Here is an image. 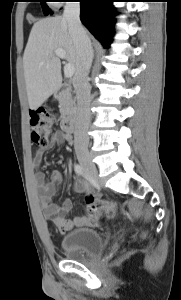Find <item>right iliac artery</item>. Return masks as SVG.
I'll use <instances>...</instances> for the list:
<instances>
[{
	"instance_id": "obj_1",
	"label": "right iliac artery",
	"mask_w": 181,
	"mask_h": 300,
	"mask_svg": "<svg viewBox=\"0 0 181 300\" xmlns=\"http://www.w3.org/2000/svg\"><path fill=\"white\" fill-rule=\"evenodd\" d=\"M74 170H75L76 174H78L79 176H84V169L80 164H75Z\"/></svg>"
}]
</instances>
